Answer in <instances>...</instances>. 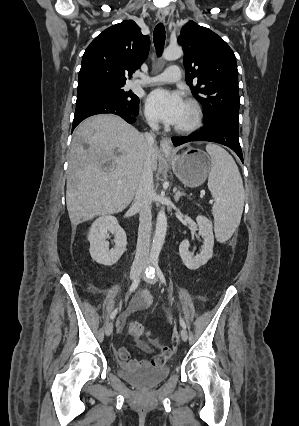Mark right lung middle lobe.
I'll use <instances>...</instances> for the list:
<instances>
[{"mask_svg": "<svg viewBox=\"0 0 299 426\" xmlns=\"http://www.w3.org/2000/svg\"><path fill=\"white\" fill-rule=\"evenodd\" d=\"M125 84L95 83L78 86L77 96L86 93L100 94L114 98L124 104L133 106L139 103V98L131 91L124 90Z\"/></svg>", "mask_w": 299, "mask_h": 426, "instance_id": "1", "label": "right lung middle lobe"}]
</instances>
